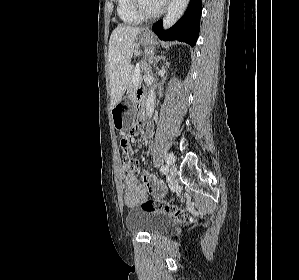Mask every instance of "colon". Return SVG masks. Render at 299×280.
Masks as SVG:
<instances>
[{
  "label": "colon",
  "instance_id": "5ec220e1",
  "mask_svg": "<svg viewBox=\"0 0 299 280\" xmlns=\"http://www.w3.org/2000/svg\"><path fill=\"white\" fill-rule=\"evenodd\" d=\"M133 131L123 134L121 138V146L123 151L126 152L122 166V176L124 179L131 176L138 168V162L129 154V143L131 141ZM141 208L144 211H159L170 214L176 220L180 222H187L191 220V217L186 213L185 210L171 205L165 201H153L147 200L141 204Z\"/></svg>",
  "mask_w": 299,
  "mask_h": 280
}]
</instances>
